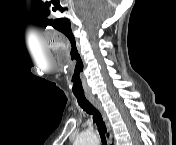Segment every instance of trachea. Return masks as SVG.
I'll list each match as a JSON object with an SVG mask.
<instances>
[{
	"mask_svg": "<svg viewBox=\"0 0 176 145\" xmlns=\"http://www.w3.org/2000/svg\"><path fill=\"white\" fill-rule=\"evenodd\" d=\"M80 107L86 111L89 115L93 116V121L99 127V134L101 138L102 145H107L105 132L106 127L103 122L101 113L93 106V104L84 95H75Z\"/></svg>",
	"mask_w": 176,
	"mask_h": 145,
	"instance_id": "3493384b",
	"label": "trachea"
}]
</instances>
